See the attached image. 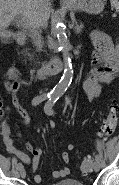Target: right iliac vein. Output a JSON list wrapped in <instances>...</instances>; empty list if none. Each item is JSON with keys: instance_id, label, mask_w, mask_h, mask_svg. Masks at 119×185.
Returning a JSON list of instances; mask_svg holds the SVG:
<instances>
[{"instance_id": "obj_1", "label": "right iliac vein", "mask_w": 119, "mask_h": 185, "mask_svg": "<svg viewBox=\"0 0 119 185\" xmlns=\"http://www.w3.org/2000/svg\"><path fill=\"white\" fill-rule=\"evenodd\" d=\"M19 172H20V176H21L22 178H25V176H26V171H25L24 167L20 168V169H19Z\"/></svg>"}]
</instances>
